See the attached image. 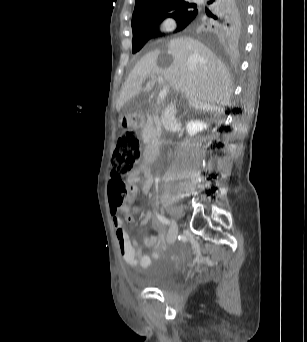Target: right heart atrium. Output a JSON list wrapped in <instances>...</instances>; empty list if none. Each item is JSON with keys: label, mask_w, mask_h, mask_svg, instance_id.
I'll return each instance as SVG.
<instances>
[{"label": "right heart atrium", "mask_w": 307, "mask_h": 342, "mask_svg": "<svg viewBox=\"0 0 307 342\" xmlns=\"http://www.w3.org/2000/svg\"><path fill=\"white\" fill-rule=\"evenodd\" d=\"M177 28V22L169 16H162L154 25L152 35L156 37L165 36Z\"/></svg>", "instance_id": "d8ad5b80"}]
</instances>
